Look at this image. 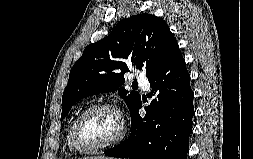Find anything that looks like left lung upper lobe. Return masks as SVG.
<instances>
[{
  "label": "left lung upper lobe",
  "mask_w": 253,
  "mask_h": 159,
  "mask_svg": "<svg viewBox=\"0 0 253 159\" xmlns=\"http://www.w3.org/2000/svg\"><path fill=\"white\" fill-rule=\"evenodd\" d=\"M178 51L174 35L161 18L138 14L120 21L107 37L87 46L72 67L62 96L61 120L82 98L117 89L131 113L141 98L122 87L124 73L132 66L146 71L149 78Z\"/></svg>",
  "instance_id": "5c2ea615"
}]
</instances>
